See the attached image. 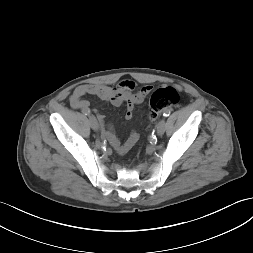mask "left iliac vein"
Here are the masks:
<instances>
[{
  "mask_svg": "<svg viewBox=\"0 0 253 253\" xmlns=\"http://www.w3.org/2000/svg\"><path fill=\"white\" fill-rule=\"evenodd\" d=\"M165 128H166V123L164 120H161L158 124H157V134L158 135H163L165 132Z\"/></svg>",
  "mask_w": 253,
  "mask_h": 253,
  "instance_id": "4c4485c4",
  "label": "left iliac vein"
}]
</instances>
